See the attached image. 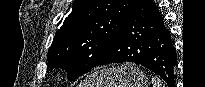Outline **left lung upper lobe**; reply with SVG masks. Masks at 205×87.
I'll list each match as a JSON object with an SVG mask.
<instances>
[{"instance_id":"obj_1","label":"left lung upper lobe","mask_w":205,"mask_h":87,"mask_svg":"<svg viewBox=\"0 0 205 87\" xmlns=\"http://www.w3.org/2000/svg\"><path fill=\"white\" fill-rule=\"evenodd\" d=\"M136 0H75L48 51L47 68L62 67L75 80L106 56Z\"/></svg>"}]
</instances>
